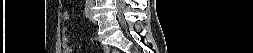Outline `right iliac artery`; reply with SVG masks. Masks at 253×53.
Listing matches in <instances>:
<instances>
[{
    "instance_id": "right-iliac-artery-1",
    "label": "right iliac artery",
    "mask_w": 253,
    "mask_h": 53,
    "mask_svg": "<svg viewBox=\"0 0 253 53\" xmlns=\"http://www.w3.org/2000/svg\"><path fill=\"white\" fill-rule=\"evenodd\" d=\"M89 13H90V7H89V3L87 2V3H86L85 10H84V15H85L86 17H89Z\"/></svg>"
}]
</instances>
